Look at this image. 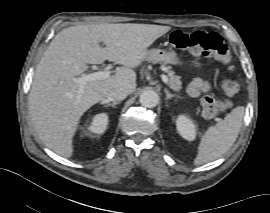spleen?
I'll return each mask as SVG.
<instances>
[{
	"label": "spleen",
	"instance_id": "1",
	"mask_svg": "<svg viewBox=\"0 0 270 213\" xmlns=\"http://www.w3.org/2000/svg\"><path fill=\"white\" fill-rule=\"evenodd\" d=\"M244 114V107H236L222 121L206 130L199 143L195 165L214 161L230 149L238 137Z\"/></svg>",
	"mask_w": 270,
	"mask_h": 213
}]
</instances>
